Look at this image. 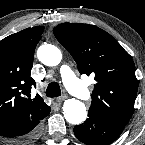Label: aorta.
Here are the masks:
<instances>
[{"mask_svg": "<svg viewBox=\"0 0 145 145\" xmlns=\"http://www.w3.org/2000/svg\"><path fill=\"white\" fill-rule=\"evenodd\" d=\"M37 57L41 63L46 66H56L62 60V53L54 45L43 44L37 50ZM63 113L68 123L78 125L87 118V111L85 105L74 98L68 99L64 102Z\"/></svg>", "mask_w": 145, "mask_h": 145, "instance_id": "obj_1", "label": "aorta"}]
</instances>
